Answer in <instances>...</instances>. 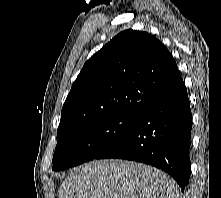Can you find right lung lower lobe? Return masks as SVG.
Returning a JSON list of instances; mask_svg holds the SVG:
<instances>
[{"label":"right lung lower lobe","mask_w":221,"mask_h":198,"mask_svg":"<svg viewBox=\"0 0 221 198\" xmlns=\"http://www.w3.org/2000/svg\"><path fill=\"white\" fill-rule=\"evenodd\" d=\"M192 115L182 81L139 116L133 129L95 159L143 162L170 174L184 190L190 179Z\"/></svg>","instance_id":"98d812e1"}]
</instances>
